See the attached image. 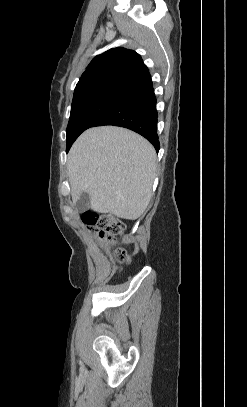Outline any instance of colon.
<instances>
[{
  "mask_svg": "<svg viewBox=\"0 0 247 407\" xmlns=\"http://www.w3.org/2000/svg\"><path fill=\"white\" fill-rule=\"evenodd\" d=\"M82 220L106 243H112L117 236L124 232L125 228L122 221L105 213L86 212L83 214ZM116 258L121 263L129 261L128 254L122 250L117 251Z\"/></svg>",
  "mask_w": 247,
  "mask_h": 407,
  "instance_id": "5ec220e1",
  "label": "colon"
}]
</instances>
